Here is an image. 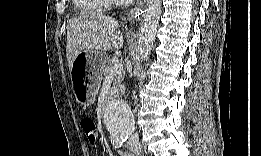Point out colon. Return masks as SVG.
I'll use <instances>...</instances> for the list:
<instances>
[{
    "label": "colon",
    "instance_id": "1",
    "mask_svg": "<svg viewBox=\"0 0 261 156\" xmlns=\"http://www.w3.org/2000/svg\"><path fill=\"white\" fill-rule=\"evenodd\" d=\"M81 128L90 144H94L98 137V128L95 121L89 117L84 116L80 121Z\"/></svg>",
    "mask_w": 261,
    "mask_h": 156
}]
</instances>
